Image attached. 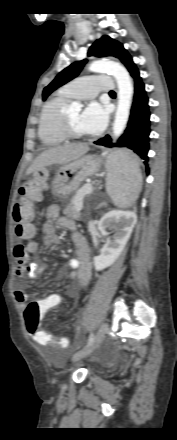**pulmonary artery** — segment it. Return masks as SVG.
<instances>
[{
    "mask_svg": "<svg viewBox=\"0 0 177 440\" xmlns=\"http://www.w3.org/2000/svg\"><path fill=\"white\" fill-rule=\"evenodd\" d=\"M62 88L73 98L91 99L99 92H109L114 88V84L110 76L94 74L75 79Z\"/></svg>",
    "mask_w": 177,
    "mask_h": 440,
    "instance_id": "pulmonary-artery-1",
    "label": "pulmonary artery"
}]
</instances>
